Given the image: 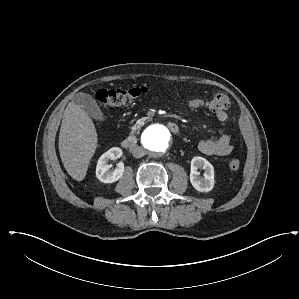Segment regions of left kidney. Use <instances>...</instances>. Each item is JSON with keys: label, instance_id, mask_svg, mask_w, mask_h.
<instances>
[{"label": "left kidney", "instance_id": "1", "mask_svg": "<svg viewBox=\"0 0 299 299\" xmlns=\"http://www.w3.org/2000/svg\"><path fill=\"white\" fill-rule=\"evenodd\" d=\"M198 169H203V177H200ZM190 182L199 192H209L214 187V167L203 157H194L191 160Z\"/></svg>", "mask_w": 299, "mask_h": 299}]
</instances>
